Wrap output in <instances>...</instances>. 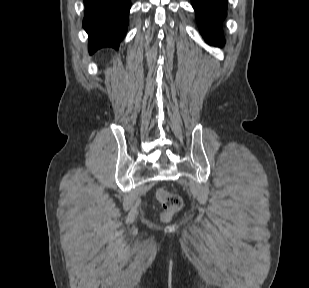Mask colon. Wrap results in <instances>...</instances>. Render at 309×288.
Here are the masks:
<instances>
[{"label": "colon", "instance_id": "1", "mask_svg": "<svg viewBox=\"0 0 309 288\" xmlns=\"http://www.w3.org/2000/svg\"><path fill=\"white\" fill-rule=\"evenodd\" d=\"M156 198L165 209L163 215L165 219L179 211L182 206V199L178 194L169 192L163 188L156 190Z\"/></svg>", "mask_w": 309, "mask_h": 288}]
</instances>
